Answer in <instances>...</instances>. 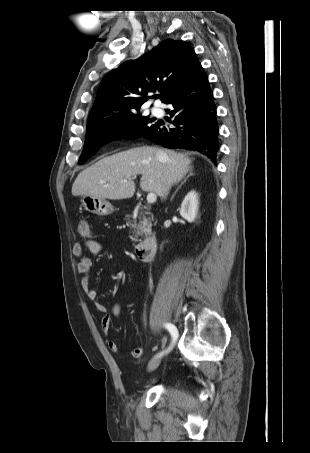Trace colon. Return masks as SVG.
<instances>
[{
    "label": "colon",
    "mask_w": 310,
    "mask_h": 453,
    "mask_svg": "<svg viewBox=\"0 0 310 453\" xmlns=\"http://www.w3.org/2000/svg\"><path fill=\"white\" fill-rule=\"evenodd\" d=\"M77 233L82 238H87L90 236V226L87 221H80L77 228Z\"/></svg>",
    "instance_id": "5ec220e1"
}]
</instances>
